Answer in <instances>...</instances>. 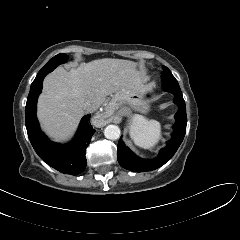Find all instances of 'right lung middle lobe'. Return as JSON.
I'll use <instances>...</instances> for the list:
<instances>
[{
    "mask_svg": "<svg viewBox=\"0 0 240 240\" xmlns=\"http://www.w3.org/2000/svg\"><path fill=\"white\" fill-rule=\"evenodd\" d=\"M68 59V56L65 54H58L55 57H53L52 59H50V61L39 71V73L37 74L35 80L40 76L41 73L44 72H51L53 69H55L59 64L65 63ZM35 80L33 81V83L35 82Z\"/></svg>",
    "mask_w": 240,
    "mask_h": 240,
    "instance_id": "1",
    "label": "right lung middle lobe"
}]
</instances>
